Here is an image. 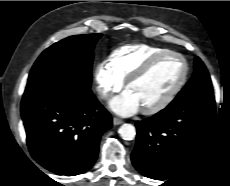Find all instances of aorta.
<instances>
[{"instance_id": "762f6f07", "label": "aorta", "mask_w": 230, "mask_h": 186, "mask_svg": "<svg viewBox=\"0 0 230 186\" xmlns=\"http://www.w3.org/2000/svg\"><path fill=\"white\" fill-rule=\"evenodd\" d=\"M119 133L124 140H133L136 136V129L133 125L125 123L119 128Z\"/></svg>"}]
</instances>
